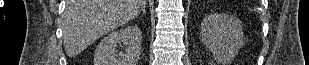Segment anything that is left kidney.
<instances>
[{
  "mask_svg": "<svg viewBox=\"0 0 309 65\" xmlns=\"http://www.w3.org/2000/svg\"><path fill=\"white\" fill-rule=\"evenodd\" d=\"M200 37L214 60L225 65L231 63L243 46L242 23L231 15H207L201 22Z\"/></svg>",
  "mask_w": 309,
  "mask_h": 65,
  "instance_id": "5707ae66",
  "label": "left kidney"
}]
</instances>
